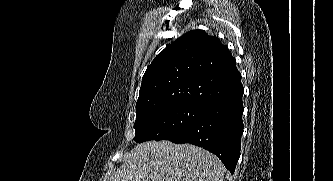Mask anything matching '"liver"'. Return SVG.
<instances>
[{
  "mask_svg": "<svg viewBox=\"0 0 333 181\" xmlns=\"http://www.w3.org/2000/svg\"><path fill=\"white\" fill-rule=\"evenodd\" d=\"M107 181H223L225 167L209 151L191 144L148 141L124 156Z\"/></svg>",
  "mask_w": 333,
  "mask_h": 181,
  "instance_id": "obj_1",
  "label": "liver"
}]
</instances>
